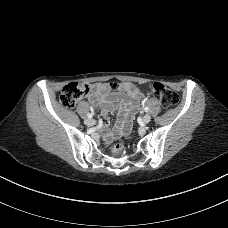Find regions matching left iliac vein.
<instances>
[{
  "label": "left iliac vein",
  "instance_id": "1",
  "mask_svg": "<svg viewBox=\"0 0 228 228\" xmlns=\"http://www.w3.org/2000/svg\"><path fill=\"white\" fill-rule=\"evenodd\" d=\"M150 121H151V116H150L149 114H146V115L143 117V123H144V124H148Z\"/></svg>",
  "mask_w": 228,
  "mask_h": 228
}]
</instances>
